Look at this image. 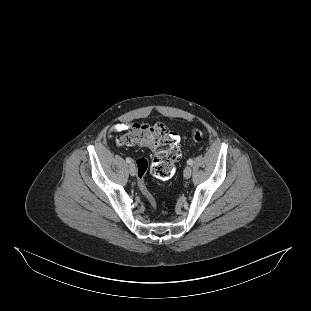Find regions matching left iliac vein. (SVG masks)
Segmentation results:
<instances>
[{
	"instance_id": "4c4485c4",
	"label": "left iliac vein",
	"mask_w": 311,
	"mask_h": 311,
	"mask_svg": "<svg viewBox=\"0 0 311 311\" xmlns=\"http://www.w3.org/2000/svg\"><path fill=\"white\" fill-rule=\"evenodd\" d=\"M191 174H192V169L190 166H187L185 169H184V172H183V175L186 179L190 178L191 177Z\"/></svg>"
}]
</instances>
